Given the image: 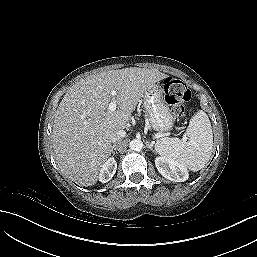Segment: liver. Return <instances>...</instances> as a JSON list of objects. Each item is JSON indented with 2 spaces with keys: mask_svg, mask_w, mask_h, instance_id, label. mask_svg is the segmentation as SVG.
Wrapping results in <instances>:
<instances>
[{
  "mask_svg": "<svg viewBox=\"0 0 257 257\" xmlns=\"http://www.w3.org/2000/svg\"><path fill=\"white\" fill-rule=\"evenodd\" d=\"M167 78L157 69L123 68L89 76L74 84L56 110L52 141L63 174L83 186L97 182L112 153L111 136L126 128L144 92ZM116 91L117 109L108 106Z\"/></svg>",
  "mask_w": 257,
  "mask_h": 257,
  "instance_id": "1",
  "label": "liver"
}]
</instances>
